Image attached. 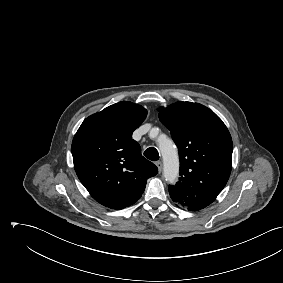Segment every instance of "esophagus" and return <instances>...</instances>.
<instances>
[{"label":"esophagus","instance_id":"1","mask_svg":"<svg viewBox=\"0 0 283 283\" xmlns=\"http://www.w3.org/2000/svg\"><path fill=\"white\" fill-rule=\"evenodd\" d=\"M156 166L158 168V171L161 172V170H162V162L161 161H157L156 162Z\"/></svg>","mask_w":283,"mask_h":283}]
</instances>
